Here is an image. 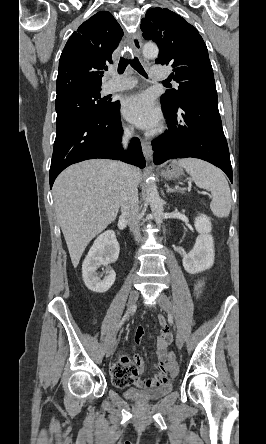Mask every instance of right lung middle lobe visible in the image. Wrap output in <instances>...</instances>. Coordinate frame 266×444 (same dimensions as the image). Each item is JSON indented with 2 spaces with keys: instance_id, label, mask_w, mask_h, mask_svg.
<instances>
[{
  "instance_id": "dd1d6c3e",
  "label": "right lung middle lobe",
  "mask_w": 266,
  "mask_h": 444,
  "mask_svg": "<svg viewBox=\"0 0 266 444\" xmlns=\"http://www.w3.org/2000/svg\"><path fill=\"white\" fill-rule=\"evenodd\" d=\"M100 91L101 89L75 91L57 97L55 102L57 112L56 135L73 125L108 115L114 108L115 103L101 98Z\"/></svg>"
}]
</instances>
